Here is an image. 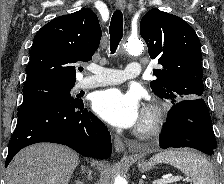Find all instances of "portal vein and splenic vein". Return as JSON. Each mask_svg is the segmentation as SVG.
<instances>
[{
  "label": "portal vein and splenic vein",
  "instance_id": "1",
  "mask_svg": "<svg viewBox=\"0 0 224 184\" xmlns=\"http://www.w3.org/2000/svg\"><path fill=\"white\" fill-rule=\"evenodd\" d=\"M180 179H181V177H179V176L169 177V178H165V179L155 180V181H153L152 184H170V183H175V182L179 181Z\"/></svg>",
  "mask_w": 224,
  "mask_h": 184
}]
</instances>
